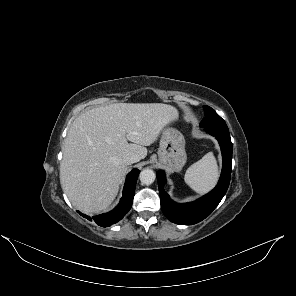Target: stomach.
<instances>
[{"label": "stomach", "instance_id": "stomach-1", "mask_svg": "<svg viewBox=\"0 0 296 296\" xmlns=\"http://www.w3.org/2000/svg\"><path fill=\"white\" fill-rule=\"evenodd\" d=\"M158 157L169 170L180 171L187 160L183 134L174 128H166L160 138Z\"/></svg>", "mask_w": 296, "mask_h": 296}]
</instances>
